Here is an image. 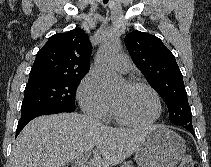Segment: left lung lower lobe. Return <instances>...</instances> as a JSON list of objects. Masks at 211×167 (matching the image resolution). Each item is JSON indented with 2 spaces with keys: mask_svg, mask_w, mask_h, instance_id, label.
Wrapping results in <instances>:
<instances>
[{
  "mask_svg": "<svg viewBox=\"0 0 211 167\" xmlns=\"http://www.w3.org/2000/svg\"><path fill=\"white\" fill-rule=\"evenodd\" d=\"M185 129H187L193 136H195L193 127H184Z\"/></svg>",
  "mask_w": 211,
  "mask_h": 167,
  "instance_id": "0a47b994",
  "label": "left lung lower lobe"
}]
</instances>
